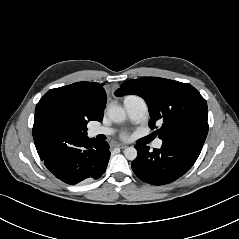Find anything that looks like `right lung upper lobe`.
Returning a JSON list of instances; mask_svg holds the SVG:
<instances>
[{
    "instance_id": "right-lung-upper-lobe-1",
    "label": "right lung upper lobe",
    "mask_w": 239,
    "mask_h": 239,
    "mask_svg": "<svg viewBox=\"0 0 239 239\" xmlns=\"http://www.w3.org/2000/svg\"><path fill=\"white\" fill-rule=\"evenodd\" d=\"M104 84L95 82H77L71 85L49 90L38 102L35 109L33 138L38 152L48 144L40 139L34 130L42 122L66 113L74 118L78 125V136H87V123L103 120L106 105Z\"/></svg>"
}]
</instances>
